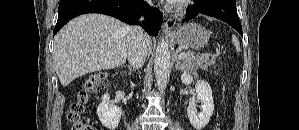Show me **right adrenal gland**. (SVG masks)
Returning a JSON list of instances; mask_svg holds the SVG:
<instances>
[{"label": "right adrenal gland", "mask_w": 299, "mask_h": 130, "mask_svg": "<svg viewBox=\"0 0 299 130\" xmlns=\"http://www.w3.org/2000/svg\"><path fill=\"white\" fill-rule=\"evenodd\" d=\"M124 67L128 68V70H129L130 72H134V71H136V68H133L131 65H126V66H124Z\"/></svg>", "instance_id": "obj_1"}]
</instances>
